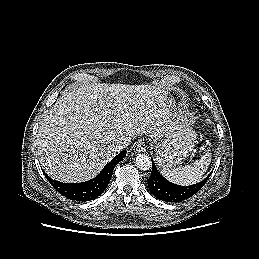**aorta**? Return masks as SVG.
<instances>
[{
	"mask_svg": "<svg viewBox=\"0 0 259 259\" xmlns=\"http://www.w3.org/2000/svg\"><path fill=\"white\" fill-rule=\"evenodd\" d=\"M135 165L141 170H149L151 168V159L146 154H137L135 157Z\"/></svg>",
	"mask_w": 259,
	"mask_h": 259,
	"instance_id": "obj_1",
	"label": "aorta"
}]
</instances>
